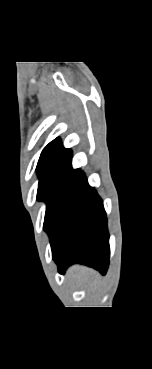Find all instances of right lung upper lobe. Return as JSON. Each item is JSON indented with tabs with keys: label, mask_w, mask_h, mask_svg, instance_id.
Returning a JSON list of instances; mask_svg holds the SVG:
<instances>
[{
	"label": "right lung upper lobe",
	"mask_w": 152,
	"mask_h": 369,
	"mask_svg": "<svg viewBox=\"0 0 152 369\" xmlns=\"http://www.w3.org/2000/svg\"><path fill=\"white\" fill-rule=\"evenodd\" d=\"M71 157V149H64L61 140L56 138L42 151L37 168L55 165H71Z\"/></svg>",
	"instance_id": "cb5924a9"
}]
</instances>
